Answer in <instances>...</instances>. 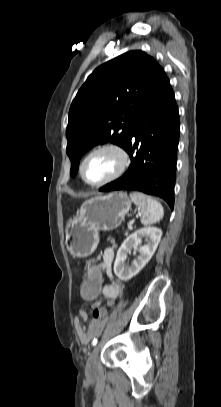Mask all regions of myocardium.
I'll list each match as a JSON object with an SVG mask.
<instances>
[{"label":"myocardium","instance_id":"1","mask_svg":"<svg viewBox=\"0 0 221 407\" xmlns=\"http://www.w3.org/2000/svg\"><path fill=\"white\" fill-rule=\"evenodd\" d=\"M102 151L114 152L120 160L119 167L116 170V172L114 174H112L110 177H108L107 179L100 181V182H96V183L89 182L86 179L85 174H84L85 164L91 156H93L96 153L102 152ZM129 165H130V155H129L128 151L122 145L117 144V143H106V144L96 147L95 149L90 151L84 157V159L81 162L79 172H80V176H81L82 180L86 184H88L89 186H92V187H101V186H105V185L119 179L127 171V169L129 168Z\"/></svg>","mask_w":221,"mask_h":407}]
</instances>
